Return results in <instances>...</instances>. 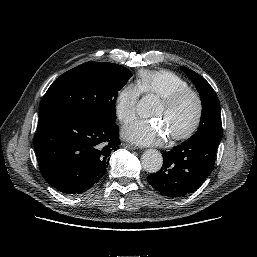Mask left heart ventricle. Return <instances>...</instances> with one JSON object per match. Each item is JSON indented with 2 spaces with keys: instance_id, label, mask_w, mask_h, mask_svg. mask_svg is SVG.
<instances>
[{
  "instance_id": "1",
  "label": "left heart ventricle",
  "mask_w": 257,
  "mask_h": 257,
  "mask_svg": "<svg viewBox=\"0 0 257 257\" xmlns=\"http://www.w3.org/2000/svg\"><path fill=\"white\" fill-rule=\"evenodd\" d=\"M196 102L188 96L174 106H167L158 101L152 116L159 118L169 136L183 132L193 121L196 114Z\"/></svg>"
}]
</instances>
